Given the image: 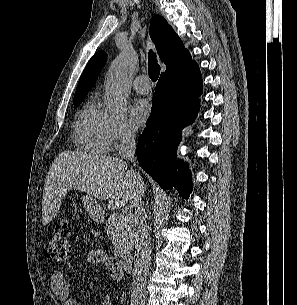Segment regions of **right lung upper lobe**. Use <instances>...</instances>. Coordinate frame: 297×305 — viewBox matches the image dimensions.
Wrapping results in <instances>:
<instances>
[{"instance_id":"cb5924a9","label":"right lung upper lobe","mask_w":297,"mask_h":305,"mask_svg":"<svg viewBox=\"0 0 297 305\" xmlns=\"http://www.w3.org/2000/svg\"><path fill=\"white\" fill-rule=\"evenodd\" d=\"M150 36L156 45L160 59L166 64V71L161 74L162 76L176 75L195 63L191 60V55L185 49L179 36L162 16L152 17ZM106 59L107 54L101 51L89 60L78 82L73 101L87 96V91L95 84Z\"/></svg>"}]
</instances>
